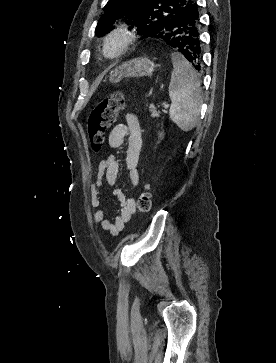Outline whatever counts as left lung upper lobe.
I'll use <instances>...</instances> for the list:
<instances>
[{"label":"left lung upper lobe","mask_w":276,"mask_h":363,"mask_svg":"<svg viewBox=\"0 0 276 363\" xmlns=\"http://www.w3.org/2000/svg\"><path fill=\"white\" fill-rule=\"evenodd\" d=\"M194 2V0H109L104 11L110 16L104 15L99 19L95 33L101 36L109 32L116 19L127 16L133 20L128 21V24L138 26L139 34L144 38H159L172 30L173 21L181 9Z\"/></svg>","instance_id":"1"}]
</instances>
